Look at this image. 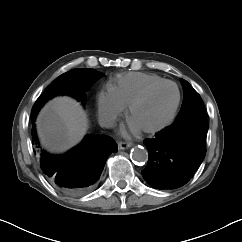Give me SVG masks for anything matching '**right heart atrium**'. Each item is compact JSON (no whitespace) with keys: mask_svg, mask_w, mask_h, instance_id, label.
Instances as JSON below:
<instances>
[{"mask_svg":"<svg viewBox=\"0 0 242 242\" xmlns=\"http://www.w3.org/2000/svg\"><path fill=\"white\" fill-rule=\"evenodd\" d=\"M97 108L100 122L110 127L123 113L124 106L117 100L112 91H101L97 97Z\"/></svg>","mask_w":242,"mask_h":242,"instance_id":"d8ad5b80","label":"right heart atrium"}]
</instances>
